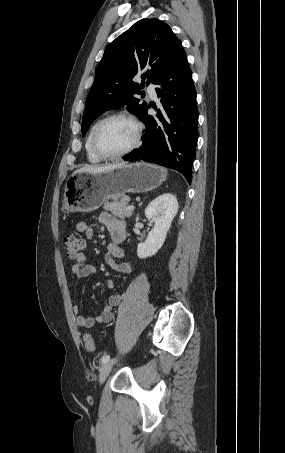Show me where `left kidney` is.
Listing matches in <instances>:
<instances>
[{
	"instance_id": "left-kidney-1",
	"label": "left kidney",
	"mask_w": 285,
	"mask_h": 453,
	"mask_svg": "<svg viewBox=\"0 0 285 453\" xmlns=\"http://www.w3.org/2000/svg\"><path fill=\"white\" fill-rule=\"evenodd\" d=\"M178 207L177 198L170 193L156 197L147 206L145 216L155 224L145 242L137 246V255L140 259L155 255L163 246Z\"/></svg>"
}]
</instances>
